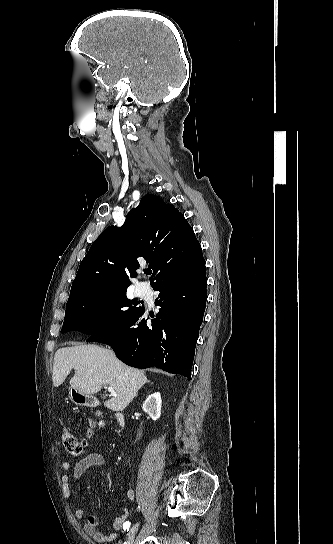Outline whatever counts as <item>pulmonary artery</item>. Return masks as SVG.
Segmentation results:
<instances>
[{
  "label": "pulmonary artery",
  "mask_w": 333,
  "mask_h": 544,
  "mask_svg": "<svg viewBox=\"0 0 333 544\" xmlns=\"http://www.w3.org/2000/svg\"><path fill=\"white\" fill-rule=\"evenodd\" d=\"M137 291L140 295H144L146 293V288L143 285H139Z\"/></svg>",
  "instance_id": "e3ab8cb5"
}]
</instances>
